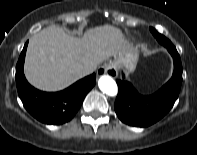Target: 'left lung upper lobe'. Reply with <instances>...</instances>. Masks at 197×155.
Listing matches in <instances>:
<instances>
[{
    "label": "left lung upper lobe",
    "instance_id": "left-lung-upper-lobe-1",
    "mask_svg": "<svg viewBox=\"0 0 197 155\" xmlns=\"http://www.w3.org/2000/svg\"><path fill=\"white\" fill-rule=\"evenodd\" d=\"M150 31L154 35V37L157 39V41L162 44L165 47L172 46L173 44L162 34L158 33L154 28H150Z\"/></svg>",
    "mask_w": 197,
    "mask_h": 155
}]
</instances>
